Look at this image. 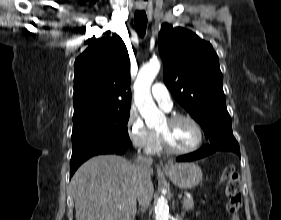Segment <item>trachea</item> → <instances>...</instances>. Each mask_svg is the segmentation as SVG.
<instances>
[{"label":"trachea","instance_id":"trachea-1","mask_svg":"<svg viewBox=\"0 0 281 220\" xmlns=\"http://www.w3.org/2000/svg\"><path fill=\"white\" fill-rule=\"evenodd\" d=\"M134 25L137 33L144 37L147 27V16L144 11H137L134 15Z\"/></svg>","mask_w":281,"mask_h":220}]
</instances>
